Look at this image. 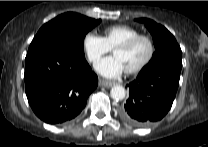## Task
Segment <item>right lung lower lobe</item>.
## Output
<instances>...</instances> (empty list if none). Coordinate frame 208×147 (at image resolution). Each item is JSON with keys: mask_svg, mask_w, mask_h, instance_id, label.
<instances>
[{"mask_svg": "<svg viewBox=\"0 0 208 147\" xmlns=\"http://www.w3.org/2000/svg\"><path fill=\"white\" fill-rule=\"evenodd\" d=\"M24 80L32 110L49 124L74 119L98 85L85 58L59 47L28 54Z\"/></svg>", "mask_w": 208, "mask_h": 147, "instance_id": "98d812e1", "label": "right lung lower lobe"}]
</instances>
